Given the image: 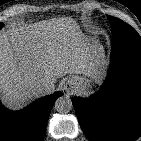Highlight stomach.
<instances>
[{
  "mask_svg": "<svg viewBox=\"0 0 141 141\" xmlns=\"http://www.w3.org/2000/svg\"><path fill=\"white\" fill-rule=\"evenodd\" d=\"M90 41V48L92 49V50H97L98 49V43L96 42V41H94V40H89ZM74 79H75V82H74V84L73 85H77V80L80 82V84H82V85H86L87 83H86V81H85V79L84 78H82V77H80V78H78V77H73Z\"/></svg>",
  "mask_w": 141,
  "mask_h": 141,
  "instance_id": "1",
  "label": "stomach"
}]
</instances>
